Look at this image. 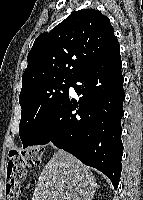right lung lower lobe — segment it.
Returning a JSON list of instances; mask_svg holds the SVG:
<instances>
[{
    "instance_id": "98d812e1",
    "label": "right lung lower lobe",
    "mask_w": 143,
    "mask_h": 200,
    "mask_svg": "<svg viewBox=\"0 0 143 200\" xmlns=\"http://www.w3.org/2000/svg\"><path fill=\"white\" fill-rule=\"evenodd\" d=\"M121 66L118 47L83 69L71 84L82 97L77 101L69 98L68 93L29 144L52 142L103 172L115 189L123 154L121 118L125 93Z\"/></svg>"
}]
</instances>
